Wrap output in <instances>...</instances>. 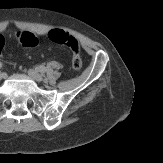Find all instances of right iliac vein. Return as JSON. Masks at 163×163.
Segmentation results:
<instances>
[{"mask_svg": "<svg viewBox=\"0 0 163 163\" xmlns=\"http://www.w3.org/2000/svg\"><path fill=\"white\" fill-rule=\"evenodd\" d=\"M5 78H6V75H5V74L0 73V81H1L2 79H5Z\"/></svg>", "mask_w": 163, "mask_h": 163, "instance_id": "1", "label": "right iliac vein"}]
</instances>
